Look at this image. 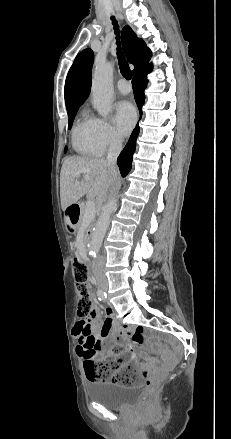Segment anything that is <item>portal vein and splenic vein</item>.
I'll use <instances>...</instances> for the list:
<instances>
[{
	"mask_svg": "<svg viewBox=\"0 0 231 439\" xmlns=\"http://www.w3.org/2000/svg\"><path fill=\"white\" fill-rule=\"evenodd\" d=\"M86 180H88V177H85ZM95 215V203L93 200H89L86 203V212H85V219H90Z\"/></svg>",
	"mask_w": 231,
	"mask_h": 439,
	"instance_id": "obj_1",
	"label": "portal vein and splenic vein"
}]
</instances>
